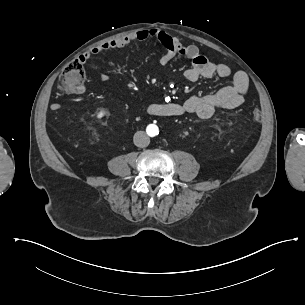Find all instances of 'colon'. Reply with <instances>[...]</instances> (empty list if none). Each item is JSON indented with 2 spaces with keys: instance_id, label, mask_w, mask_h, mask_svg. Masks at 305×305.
I'll list each match as a JSON object with an SVG mask.
<instances>
[{
  "instance_id": "obj_1",
  "label": "colon",
  "mask_w": 305,
  "mask_h": 305,
  "mask_svg": "<svg viewBox=\"0 0 305 305\" xmlns=\"http://www.w3.org/2000/svg\"><path fill=\"white\" fill-rule=\"evenodd\" d=\"M86 79V72L84 65L78 60H70L63 67V74L60 80L63 89L69 94L78 93ZM252 117L255 121H260L261 114L258 109L252 111Z\"/></svg>"
}]
</instances>
